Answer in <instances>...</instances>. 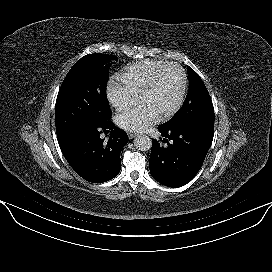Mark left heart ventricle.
Here are the masks:
<instances>
[{
    "mask_svg": "<svg viewBox=\"0 0 272 272\" xmlns=\"http://www.w3.org/2000/svg\"><path fill=\"white\" fill-rule=\"evenodd\" d=\"M181 86L180 71L175 67H170L162 74L154 89L141 99V102L151 106L160 116L175 105Z\"/></svg>",
    "mask_w": 272,
    "mask_h": 272,
    "instance_id": "left-heart-ventricle-1",
    "label": "left heart ventricle"
}]
</instances>
